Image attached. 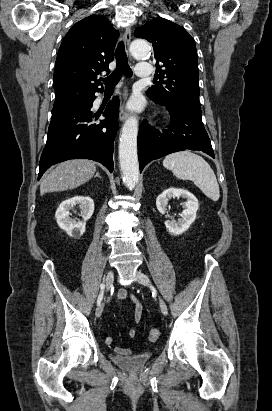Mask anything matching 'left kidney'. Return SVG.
Masks as SVG:
<instances>
[{"instance_id": "5707ae66", "label": "left kidney", "mask_w": 272, "mask_h": 411, "mask_svg": "<svg viewBox=\"0 0 272 411\" xmlns=\"http://www.w3.org/2000/svg\"><path fill=\"white\" fill-rule=\"evenodd\" d=\"M182 197L186 199L181 218L166 220L165 226L172 235H181L186 232L196 219L199 208L197 198L185 189L168 188L164 190L156 199V206L161 214H165L168 202L171 198Z\"/></svg>"}]
</instances>
